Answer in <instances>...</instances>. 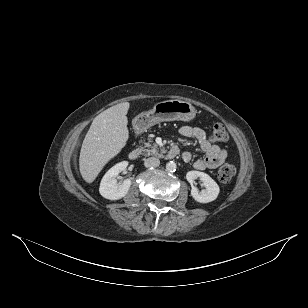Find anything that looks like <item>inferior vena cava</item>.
<instances>
[{
	"label": "inferior vena cava",
	"instance_id": "inferior-vena-cava-1",
	"mask_svg": "<svg viewBox=\"0 0 308 308\" xmlns=\"http://www.w3.org/2000/svg\"><path fill=\"white\" fill-rule=\"evenodd\" d=\"M145 167H158L160 165V160L156 157H150L145 159L144 162Z\"/></svg>",
	"mask_w": 308,
	"mask_h": 308
}]
</instances>
